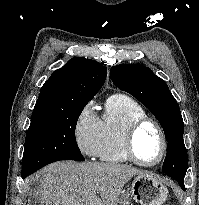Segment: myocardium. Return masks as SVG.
I'll return each instance as SVG.
<instances>
[{"mask_svg":"<svg viewBox=\"0 0 199 205\" xmlns=\"http://www.w3.org/2000/svg\"><path fill=\"white\" fill-rule=\"evenodd\" d=\"M146 125L153 126L158 131L161 138V153L158 159L154 162H144L140 160L135 151L136 135L138 131ZM123 147L127 158L133 163L144 167H154L159 165L164 160L168 150V140L165 131L159 122L149 117H143L141 119L135 120L129 125L125 132Z\"/></svg>","mask_w":199,"mask_h":205,"instance_id":"1","label":"myocardium"}]
</instances>
